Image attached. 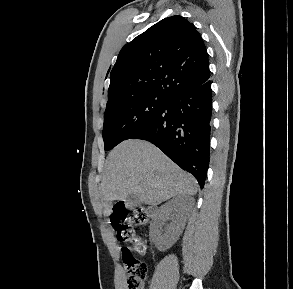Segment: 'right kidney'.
<instances>
[{"mask_svg": "<svg viewBox=\"0 0 293 289\" xmlns=\"http://www.w3.org/2000/svg\"><path fill=\"white\" fill-rule=\"evenodd\" d=\"M183 200L180 196L174 197L158 211L157 224L161 225L162 220L167 217L172 212H176V215L173 217V222L168 226L164 231L163 241L165 245L170 246L176 242L182 233L185 223L186 216L183 209ZM161 230V229H160Z\"/></svg>", "mask_w": 293, "mask_h": 289, "instance_id": "obj_1", "label": "right kidney"}]
</instances>
